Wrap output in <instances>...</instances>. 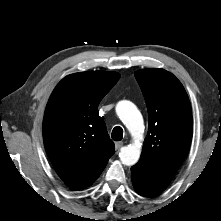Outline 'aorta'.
<instances>
[{
    "instance_id": "aorta-1",
    "label": "aorta",
    "mask_w": 221,
    "mask_h": 221,
    "mask_svg": "<svg viewBox=\"0 0 221 221\" xmlns=\"http://www.w3.org/2000/svg\"><path fill=\"white\" fill-rule=\"evenodd\" d=\"M116 112L133 138L140 139L143 131V118L137 107L129 101H120L116 106ZM140 154V147L130 144L121 148L119 157L124 165L132 166L138 162Z\"/></svg>"
}]
</instances>
